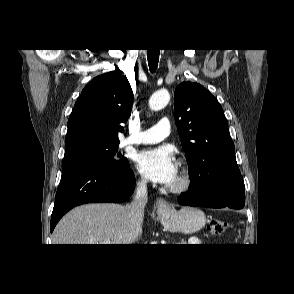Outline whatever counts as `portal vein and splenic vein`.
I'll use <instances>...</instances> for the list:
<instances>
[{"instance_id": "18ae733b", "label": "portal vein and splenic vein", "mask_w": 294, "mask_h": 294, "mask_svg": "<svg viewBox=\"0 0 294 294\" xmlns=\"http://www.w3.org/2000/svg\"><path fill=\"white\" fill-rule=\"evenodd\" d=\"M100 244H112V242L109 239H104Z\"/></svg>"}]
</instances>
